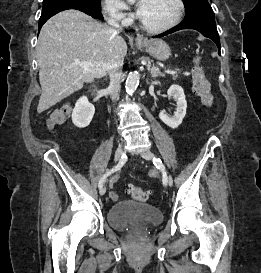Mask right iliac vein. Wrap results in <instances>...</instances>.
<instances>
[{"label": "right iliac vein", "instance_id": "63e3f726", "mask_svg": "<svg viewBox=\"0 0 261 273\" xmlns=\"http://www.w3.org/2000/svg\"><path fill=\"white\" fill-rule=\"evenodd\" d=\"M122 154H123V147L119 145L118 148L116 149L114 160L119 161L122 157ZM99 193L100 195H104L106 193V187L104 186L100 188Z\"/></svg>", "mask_w": 261, "mask_h": 273}]
</instances>
